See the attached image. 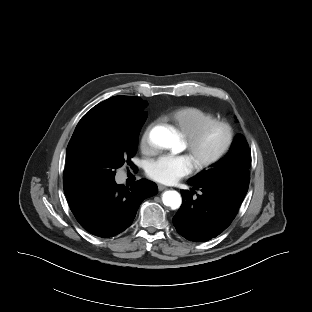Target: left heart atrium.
Instances as JSON below:
<instances>
[{"instance_id": "left-heart-atrium-1", "label": "left heart atrium", "mask_w": 312, "mask_h": 312, "mask_svg": "<svg viewBox=\"0 0 312 312\" xmlns=\"http://www.w3.org/2000/svg\"><path fill=\"white\" fill-rule=\"evenodd\" d=\"M193 163L188 156H161L147 167V176L159 183L173 184L192 172Z\"/></svg>"}]
</instances>
